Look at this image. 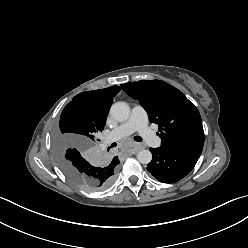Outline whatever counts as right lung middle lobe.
<instances>
[{
	"mask_svg": "<svg viewBox=\"0 0 248 248\" xmlns=\"http://www.w3.org/2000/svg\"><path fill=\"white\" fill-rule=\"evenodd\" d=\"M104 129L85 105L80 101L70 102L63 110L59 129L55 132V147L62 171L74 183L88 191H101L114 181L117 164H112L103 157H96L92 146L96 136ZM69 146H77L76 160L68 158L73 150Z\"/></svg>",
	"mask_w": 248,
	"mask_h": 248,
	"instance_id": "obj_1",
	"label": "right lung middle lobe"
}]
</instances>
